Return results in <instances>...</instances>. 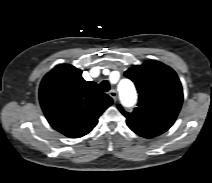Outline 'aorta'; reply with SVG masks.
<instances>
[{
	"mask_svg": "<svg viewBox=\"0 0 212 183\" xmlns=\"http://www.w3.org/2000/svg\"><path fill=\"white\" fill-rule=\"evenodd\" d=\"M119 92L125 103L133 104L136 100V91L133 83L128 79H122L119 83Z\"/></svg>",
	"mask_w": 212,
	"mask_h": 183,
	"instance_id": "obj_1",
	"label": "aorta"
}]
</instances>
